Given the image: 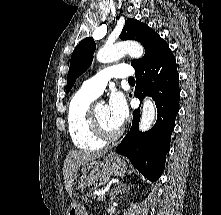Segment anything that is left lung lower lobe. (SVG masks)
Returning a JSON list of instances; mask_svg holds the SVG:
<instances>
[{"mask_svg": "<svg viewBox=\"0 0 221 215\" xmlns=\"http://www.w3.org/2000/svg\"><path fill=\"white\" fill-rule=\"evenodd\" d=\"M135 76V96L140 100L146 95L153 98L158 111L157 121L152 129L142 133L138 130L140 114L135 110L132 127L116 151L126 156L147 179L156 181L165 168L179 111V75L168 44H164L144 68L136 70Z\"/></svg>", "mask_w": 221, "mask_h": 215, "instance_id": "0a47b994", "label": "left lung lower lobe"}]
</instances>
